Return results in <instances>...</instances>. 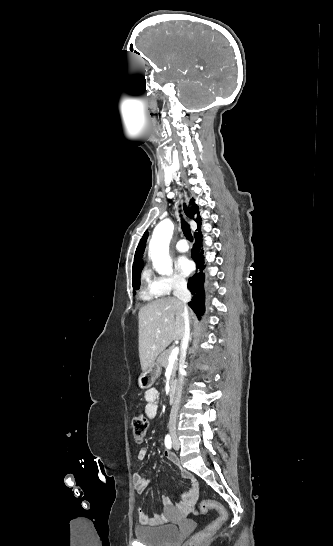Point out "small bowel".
I'll use <instances>...</instances> for the list:
<instances>
[{
	"mask_svg": "<svg viewBox=\"0 0 333 546\" xmlns=\"http://www.w3.org/2000/svg\"><path fill=\"white\" fill-rule=\"evenodd\" d=\"M159 391L156 388H150L144 393L146 401L145 412L150 419H153L158 414ZM147 450L142 448L137 453V459L143 461L146 458ZM165 458L173 465H179L176 456L165 450ZM181 475L186 479L191 480L190 486L181 493L180 499L174 503L168 496L163 495L161 502L164 507L163 513L154 516H148L142 509H139V521L145 526H158L165 524L168 521V516L171 512L177 511L182 516H188L195 513V504L199 495V487L197 481L192 477V474L185 468H181ZM134 487L138 495H142L150 485V479L140 473L133 474Z\"/></svg>",
	"mask_w": 333,
	"mask_h": 546,
	"instance_id": "1",
	"label": "small bowel"
}]
</instances>
